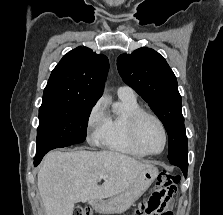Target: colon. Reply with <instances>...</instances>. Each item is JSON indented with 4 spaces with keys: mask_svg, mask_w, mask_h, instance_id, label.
<instances>
[{
    "mask_svg": "<svg viewBox=\"0 0 223 215\" xmlns=\"http://www.w3.org/2000/svg\"><path fill=\"white\" fill-rule=\"evenodd\" d=\"M179 182V177L177 175L171 174L169 172H161L158 176V183L168 192H174L176 186ZM145 212H151L154 215H165V206L163 204H152L149 201L144 206ZM73 215H92V212L89 208L86 207H77L74 210Z\"/></svg>",
    "mask_w": 223,
    "mask_h": 215,
    "instance_id": "colon-1",
    "label": "colon"
}]
</instances>
